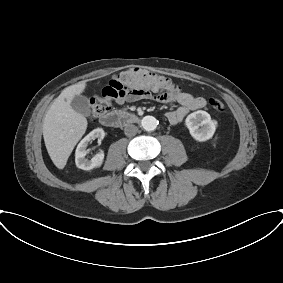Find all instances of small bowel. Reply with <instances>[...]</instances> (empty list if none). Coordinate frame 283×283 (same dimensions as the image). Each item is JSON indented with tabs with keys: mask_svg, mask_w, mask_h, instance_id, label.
Listing matches in <instances>:
<instances>
[{
	"mask_svg": "<svg viewBox=\"0 0 283 283\" xmlns=\"http://www.w3.org/2000/svg\"><path fill=\"white\" fill-rule=\"evenodd\" d=\"M141 98L148 97H139L128 94L122 98H118L116 102L122 104L125 102H134ZM149 98H154L159 102H175L179 104L177 109L166 113V118L171 124L180 123L190 111L203 108L206 105L204 98L196 97L183 91L179 85L173 82H171V87L164 94L154 93V95Z\"/></svg>",
	"mask_w": 283,
	"mask_h": 283,
	"instance_id": "small-bowel-1",
	"label": "small bowel"
}]
</instances>
